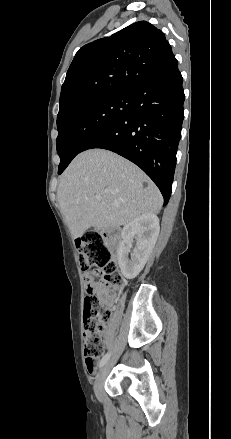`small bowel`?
Segmentation results:
<instances>
[{"label": "small bowel", "mask_w": 231, "mask_h": 439, "mask_svg": "<svg viewBox=\"0 0 231 439\" xmlns=\"http://www.w3.org/2000/svg\"><path fill=\"white\" fill-rule=\"evenodd\" d=\"M85 281H86V291L90 292V291H94V292H98L99 291V286L98 284L93 280V277L91 274H86L85 275ZM104 295V294H101ZM104 304H108V299L104 298L103 299Z\"/></svg>", "instance_id": "1"}]
</instances>
